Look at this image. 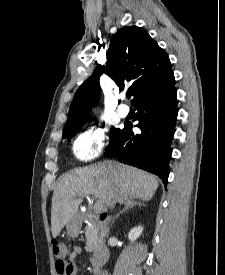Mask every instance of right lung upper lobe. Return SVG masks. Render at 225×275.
Here are the masks:
<instances>
[{
    "instance_id": "obj_1",
    "label": "right lung upper lobe",
    "mask_w": 225,
    "mask_h": 275,
    "mask_svg": "<svg viewBox=\"0 0 225 275\" xmlns=\"http://www.w3.org/2000/svg\"><path fill=\"white\" fill-rule=\"evenodd\" d=\"M106 55V66L97 65L93 74L76 91L65 127L85 120L88 108L99 98V77L102 73L110 76L120 91L130 86L134 96L132 104L174 79L168 55L140 27L121 28L112 37Z\"/></svg>"
}]
</instances>
